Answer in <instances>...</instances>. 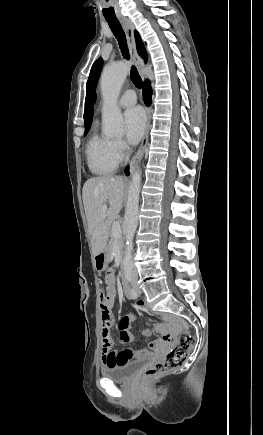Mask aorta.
Returning a JSON list of instances; mask_svg holds the SVG:
<instances>
[{
	"instance_id": "aorta-1",
	"label": "aorta",
	"mask_w": 263,
	"mask_h": 435,
	"mask_svg": "<svg viewBox=\"0 0 263 435\" xmlns=\"http://www.w3.org/2000/svg\"><path fill=\"white\" fill-rule=\"evenodd\" d=\"M128 72V64L122 62L106 68L102 74L100 82L104 99L102 122L103 132L106 136L123 135V117L117 105V99ZM141 179V172L137 170L128 190L124 222L126 246L123 257L126 274H129L133 269V239L138 225Z\"/></svg>"
}]
</instances>
